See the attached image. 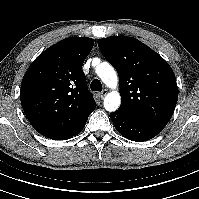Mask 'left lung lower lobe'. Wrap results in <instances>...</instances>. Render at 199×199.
<instances>
[{
	"mask_svg": "<svg viewBox=\"0 0 199 199\" xmlns=\"http://www.w3.org/2000/svg\"><path fill=\"white\" fill-rule=\"evenodd\" d=\"M110 118L116 130L132 141L143 142L149 140L162 130L154 125L136 120L128 113L120 110L110 113Z\"/></svg>",
	"mask_w": 199,
	"mask_h": 199,
	"instance_id": "obj_1",
	"label": "left lung lower lobe"
}]
</instances>
